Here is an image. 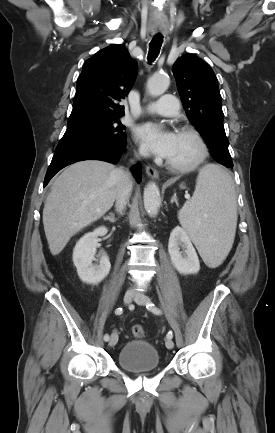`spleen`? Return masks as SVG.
Here are the masks:
<instances>
[{
	"label": "spleen",
	"mask_w": 275,
	"mask_h": 433,
	"mask_svg": "<svg viewBox=\"0 0 275 433\" xmlns=\"http://www.w3.org/2000/svg\"><path fill=\"white\" fill-rule=\"evenodd\" d=\"M178 218L205 263L219 266L232 248L237 225L235 188L229 173L215 164L204 166Z\"/></svg>",
	"instance_id": "obj_1"
}]
</instances>
